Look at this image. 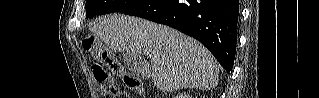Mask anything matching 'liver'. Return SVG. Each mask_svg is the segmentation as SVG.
Masks as SVG:
<instances>
[{
	"label": "liver",
	"mask_w": 319,
	"mask_h": 98,
	"mask_svg": "<svg viewBox=\"0 0 319 98\" xmlns=\"http://www.w3.org/2000/svg\"><path fill=\"white\" fill-rule=\"evenodd\" d=\"M90 30L114 52L129 53L137 58L148 51L151 58L148 75L163 92L181 88L211 90L218 84V64L207 48L168 26L112 14Z\"/></svg>",
	"instance_id": "liver-1"
}]
</instances>
